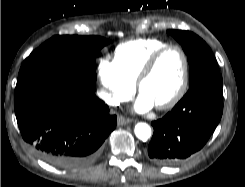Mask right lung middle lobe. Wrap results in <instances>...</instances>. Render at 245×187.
Wrapping results in <instances>:
<instances>
[{"mask_svg":"<svg viewBox=\"0 0 245 187\" xmlns=\"http://www.w3.org/2000/svg\"><path fill=\"white\" fill-rule=\"evenodd\" d=\"M109 40L98 36H54L23 62L19 75L35 70H59L96 82L95 61Z\"/></svg>","mask_w":245,"mask_h":187,"instance_id":"1","label":"right lung middle lobe"}]
</instances>
